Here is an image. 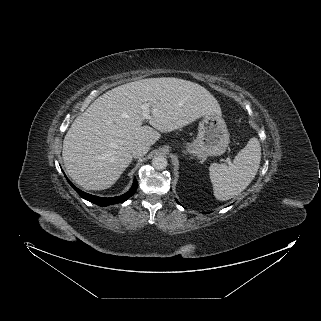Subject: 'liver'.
<instances>
[{"label": "liver", "mask_w": 321, "mask_h": 321, "mask_svg": "<svg viewBox=\"0 0 321 321\" xmlns=\"http://www.w3.org/2000/svg\"><path fill=\"white\" fill-rule=\"evenodd\" d=\"M150 126H143L142 104ZM221 115L213 95L201 85L173 77L130 82L98 97L72 123L62 157L69 176L87 190L112 186L132 162L131 147L149 146L206 114Z\"/></svg>", "instance_id": "6515ba94"}]
</instances>
